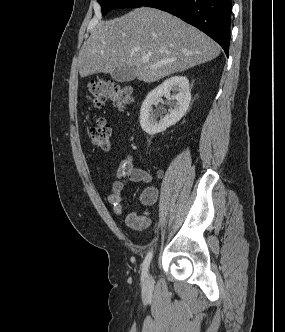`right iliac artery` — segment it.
<instances>
[{"instance_id":"obj_1","label":"right iliac artery","mask_w":285,"mask_h":332,"mask_svg":"<svg viewBox=\"0 0 285 332\" xmlns=\"http://www.w3.org/2000/svg\"><path fill=\"white\" fill-rule=\"evenodd\" d=\"M152 256H153V252L150 251L147 254V256L145 257L144 261H143V264H142V275H141L142 280H144L148 276V269H149V265H150Z\"/></svg>"}]
</instances>
